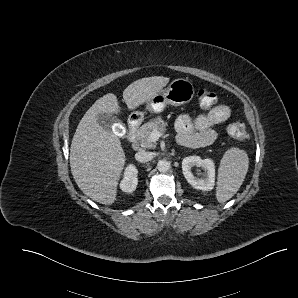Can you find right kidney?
I'll use <instances>...</instances> for the list:
<instances>
[{"label":"right kidney","mask_w":298,"mask_h":298,"mask_svg":"<svg viewBox=\"0 0 298 298\" xmlns=\"http://www.w3.org/2000/svg\"><path fill=\"white\" fill-rule=\"evenodd\" d=\"M138 170L134 164H129L124 171V177L120 182V189L123 192L132 193L138 184Z\"/></svg>","instance_id":"1"}]
</instances>
